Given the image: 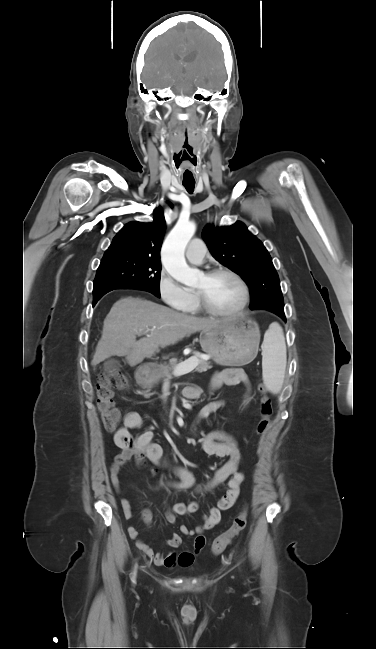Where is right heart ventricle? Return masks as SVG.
I'll use <instances>...</instances> for the list:
<instances>
[{
  "label": "right heart ventricle",
  "mask_w": 376,
  "mask_h": 649,
  "mask_svg": "<svg viewBox=\"0 0 376 649\" xmlns=\"http://www.w3.org/2000/svg\"><path fill=\"white\" fill-rule=\"evenodd\" d=\"M182 311L189 314H197L201 312V307L198 304L194 291H189V299L182 308Z\"/></svg>",
  "instance_id": "right-heart-ventricle-1"
}]
</instances>
